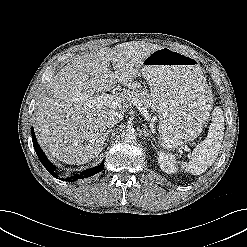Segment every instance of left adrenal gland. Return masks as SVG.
Masks as SVG:
<instances>
[{
	"mask_svg": "<svg viewBox=\"0 0 247 247\" xmlns=\"http://www.w3.org/2000/svg\"><path fill=\"white\" fill-rule=\"evenodd\" d=\"M143 132H144L145 137H148V140H150V138H152L150 131L144 130Z\"/></svg>",
	"mask_w": 247,
	"mask_h": 247,
	"instance_id": "1",
	"label": "left adrenal gland"
}]
</instances>
